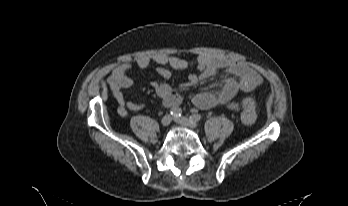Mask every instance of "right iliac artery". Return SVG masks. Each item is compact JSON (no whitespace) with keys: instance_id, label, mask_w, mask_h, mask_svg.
I'll use <instances>...</instances> for the list:
<instances>
[{"instance_id":"obj_1","label":"right iliac artery","mask_w":348,"mask_h":206,"mask_svg":"<svg viewBox=\"0 0 348 206\" xmlns=\"http://www.w3.org/2000/svg\"><path fill=\"white\" fill-rule=\"evenodd\" d=\"M170 113H171V115L173 116V117H180L181 116V114H182V111H181V109L180 108H177V107H174V108H172L171 110H170Z\"/></svg>"}]
</instances>
